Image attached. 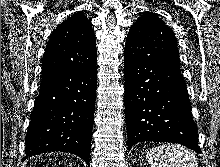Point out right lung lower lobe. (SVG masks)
<instances>
[{
    "mask_svg": "<svg viewBox=\"0 0 220 167\" xmlns=\"http://www.w3.org/2000/svg\"><path fill=\"white\" fill-rule=\"evenodd\" d=\"M96 88V64L42 81L25 138L24 159L64 151L89 165Z\"/></svg>",
    "mask_w": 220,
    "mask_h": 167,
    "instance_id": "obj_1",
    "label": "right lung lower lobe"
}]
</instances>
